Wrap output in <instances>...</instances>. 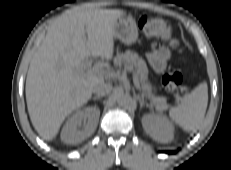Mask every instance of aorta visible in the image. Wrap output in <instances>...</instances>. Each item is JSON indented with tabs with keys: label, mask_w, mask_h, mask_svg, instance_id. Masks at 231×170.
Returning <instances> with one entry per match:
<instances>
[{
	"label": "aorta",
	"mask_w": 231,
	"mask_h": 170,
	"mask_svg": "<svg viewBox=\"0 0 231 170\" xmlns=\"http://www.w3.org/2000/svg\"><path fill=\"white\" fill-rule=\"evenodd\" d=\"M117 102L121 106H129L132 103V98L129 94H119Z\"/></svg>",
	"instance_id": "1"
}]
</instances>
